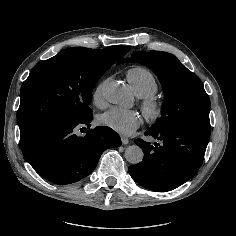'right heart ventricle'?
I'll return each instance as SVG.
<instances>
[{
  "mask_svg": "<svg viewBox=\"0 0 236 236\" xmlns=\"http://www.w3.org/2000/svg\"><path fill=\"white\" fill-rule=\"evenodd\" d=\"M127 78L135 92L140 98L153 97L158 91V83L148 69L143 67H134L127 71Z\"/></svg>",
  "mask_w": 236,
  "mask_h": 236,
  "instance_id": "e07e8e85",
  "label": "right heart ventricle"
}]
</instances>
